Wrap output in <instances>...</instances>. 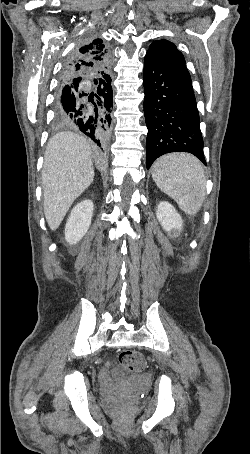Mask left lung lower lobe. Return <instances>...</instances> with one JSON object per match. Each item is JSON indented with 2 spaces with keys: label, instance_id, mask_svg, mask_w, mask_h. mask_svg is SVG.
<instances>
[{
  "label": "left lung lower lobe",
  "instance_id": "obj_1",
  "mask_svg": "<svg viewBox=\"0 0 250 454\" xmlns=\"http://www.w3.org/2000/svg\"><path fill=\"white\" fill-rule=\"evenodd\" d=\"M144 93L147 169L161 155L178 151L192 153L206 165L199 113L185 64L146 53Z\"/></svg>",
  "mask_w": 250,
  "mask_h": 454
}]
</instances>
